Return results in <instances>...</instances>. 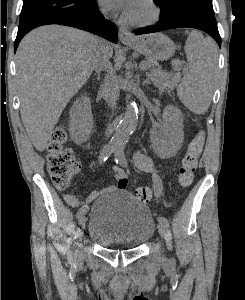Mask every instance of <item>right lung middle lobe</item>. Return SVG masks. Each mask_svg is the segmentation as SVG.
Wrapping results in <instances>:
<instances>
[{
  "label": "right lung middle lobe",
  "instance_id": "1",
  "mask_svg": "<svg viewBox=\"0 0 245 300\" xmlns=\"http://www.w3.org/2000/svg\"><path fill=\"white\" fill-rule=\"evenodd\" d=\"M96 7V0H24L19 28L58 16L83 15Z\"/></svg>",
  "mask_w": 245,
  "mask_h": 300
}]
</instances>
